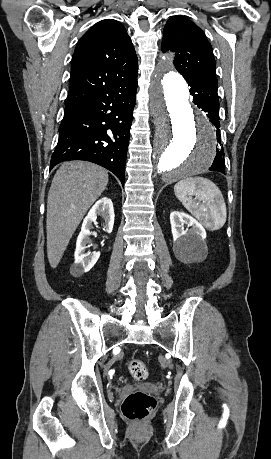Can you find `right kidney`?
<instances>
[{"label":"right kidney","mask_w":271,"mask_h":459,"mask_svg":"<svg viewBox=\"0 0 271 459\" xmlns=\"http://www.w3.org/2000/svg\"><path fill=\"white\" fill-rule=\"evenodd\" d=\"M97 216H103L105 220V231L110 233L114 226V208L110 198H101V200H98L93 208H91L82 224L81 231L76 241L75 261L70 267V273L75 275V277L89 271V269L95 265L100 255V251H87V253H85L86 247H90V245H87V243H91L89 237L91 233L90 229L93 228Z\"/></svg>","instance_id":"1"}]
</instances>
